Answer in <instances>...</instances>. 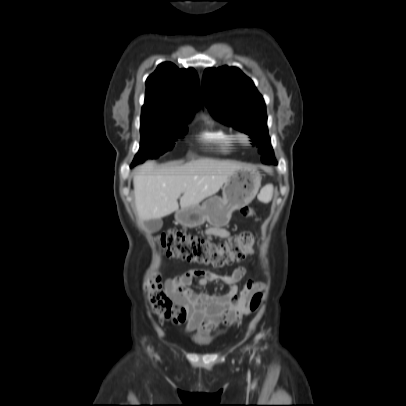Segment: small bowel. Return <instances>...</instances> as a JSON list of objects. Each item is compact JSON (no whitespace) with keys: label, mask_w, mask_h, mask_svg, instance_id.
Returning a JSON list of instances; mask_svg holds the SVG:
<instances>
[{"label":"small bowel","mask_w":406,"mask_h":406,"mask_svg":"<svg viewBox=\"0 0 406 406\" xmlns=\"http://www.w3.org/2000/svg\"><path fill=\"white\" fill-rule=\"evenodd\" d=\"M207 235L228 238L229 231L222 228H210ZM248 269L237 267L231 274H217L212 271L191 269L180 276L170 278L165 283V292L176 323H185L188 331L207 337L208 333L222 324H235L247 311L251 296L262 290V282L249 280L239 291L237 283L245 277ZM193 278H199L198 291L191 288ZM209 282L228 285L229 291L224 295H209L203 288Z\"/></svg>","instance_id":"obj_1"}]
</instances>
